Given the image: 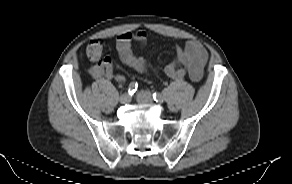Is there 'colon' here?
Segmentation results:
<instances>
[{
	"mask_svg": "<svg viewBox=\"0 0 292 184\" xmlns=\"http://www.w3.org/2000/svg\"><path fill=\"white\" fill-rule=\"evenodd\" d=\"M104 44L101 40H92L86 49L87 57L92 61H97L103 52Z\"/></svg>",
	"mask_w": 292,
	"mask_h": 184,
	"instance_id": "5ec220e1",
	"label": "colon"
}]
</instances>
